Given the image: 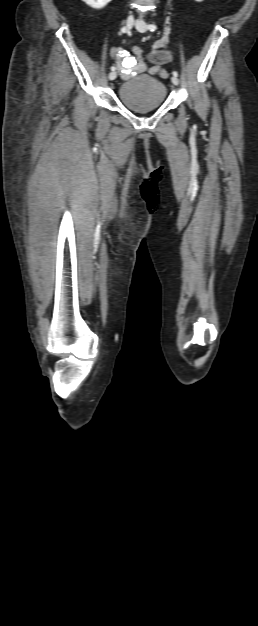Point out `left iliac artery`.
<instances>
[{
  "instance_id": "left-iliac-artery-1",
  "label": "left iliac artery",
  "mask_w": 258,
  "mask_h": 626,
  "mask_svg": "<svg viewBox=\"0 0 258 626\" xmlns=\"http://www.w3.org/2000/svg\"><path fill=\"white\" fill-rule=\"evenodd\" d=\"M147 28H148L150 31H152V32H153V31H155V30L157 29V26H156L155 24H149V25L147 26ZM173 75L177 77V76H178V72H177V71H174V72H173Z\"/></svg>"
}]
</instances>
